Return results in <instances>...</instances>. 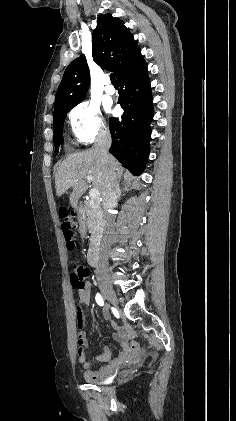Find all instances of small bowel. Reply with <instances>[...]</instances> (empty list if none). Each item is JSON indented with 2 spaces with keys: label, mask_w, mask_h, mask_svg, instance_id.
Returning a JSON list of instances; mask_svg holds the SVG:
<instances>
[{
  "label": "small bowel",
  "mask_w": 236,
  "mask_h": 421,
  "mask_svg": "<svg viewBox=\"0 0 236 421\" xmlns=\"http://www.w3.org/2000/svg\"><path fill=\"white\" fill-rule=\"evenodd\" d=\"M90 287L89 285L86 286L85 289L79 291V303L77 305V310H78V325L81 327L82 326V314H81V306L82 305H87L90 302ZM85 343V337H84V332L82 330H80L79 332V344L84 345ZM84 349V348H83ZM105 354L109 357V352L106 351ZM80 357V362L83 364V367L85 369L89 368V362L85 357V351H83L82 354L79 355ZM85 377L86 378H90L89 377V370H87L85 372Z\"/></svg>",
  "instance_id": "small-bowel-1"
}]
</instances>
